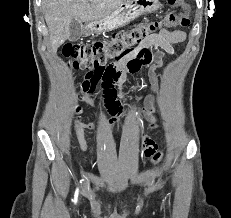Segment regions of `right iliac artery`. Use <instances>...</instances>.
I'll use <instances>...</instances> for the list:
<instances>
[{
	"label": "right iliac artery",
	"mask_w": 231,
	"mask_h": 218,
	"mask_svg": "<svg viewBox=\"0 0 231 218\" xmlns=\"http://www.w3.org/2000/svg\"><path fill=\"white\" fill-rule=\"evenodd\" d=\"M77 196H78V190H76V193H75V202L77 201Z\"/></svg>",
	"instance_id": "82829eb1"
}]
</instances>
